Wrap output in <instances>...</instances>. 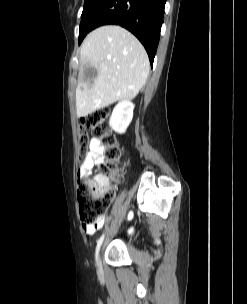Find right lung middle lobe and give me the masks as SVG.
<instances>
[{"label":"right lung middle lobe","mask_w":247,"mask_h":304,"mask_svg":"<svg viewBox=\"0 0 247 304\" xmlns=\"http://www.w3.org/2000/svg\"><path fill=\"white\" fill-rule=\"evenodd\" d=\"M100 0H85L84 2V7H83V12L81 15V21L93 10L95 5L99 2ZM83 28L80 26V31H79V39L82 38L83 36Z\"/></svg>","instance_id":"1"}]
</instances>
